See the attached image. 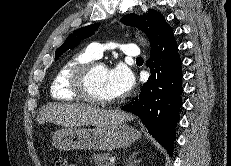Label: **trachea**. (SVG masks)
<instances>
[{
	"label": "trachea",
	"instance_id": "obj_1",
	"mask_svg": "<svg viewBox=\"0 0 231 166\" xmlns=\"http://www.w3.org/2000/svg\"><path fill=\"white\" fill-rule=\"evenodd\" d=\"M136 61H143V58H142V57H138V58L136 59Z\"/></svg>",
	"mask_w": 231,
	"mask_h": 166
}]
</instances>
